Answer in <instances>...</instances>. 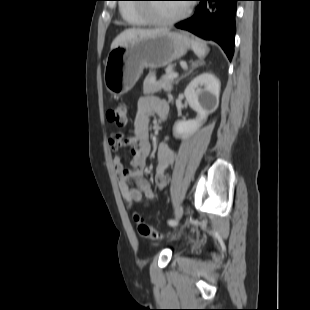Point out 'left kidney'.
<instances>
[{"label":"left kidney","instance_id":"5707ae66","mask_svg":"<svg viewBox=\"0 0 310 310\" xmlns=\"http://www.w3.org/2000/svg\"><path fill=\"white\" fill-rule=\"evenodd\" d=\"M220 82L212 73H203L194 78L184 91L190 107L197 112L196 119L177 121L173 132L175 137L185 138L193 134L207 116L218 106Z\"/></svg>","mask_w":310,"mask_h":310}]
</instances>
